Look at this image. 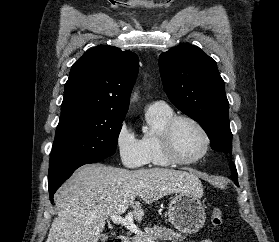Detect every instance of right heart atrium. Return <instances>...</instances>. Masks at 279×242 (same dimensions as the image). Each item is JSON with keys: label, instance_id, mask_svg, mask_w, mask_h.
Masks as SVG:
<instances>
[{"label": "right heart atrium", "instance_id": "d8ad5b80", "mask_svg": "<svg viewBox=\"0 0 279 242\" xmlns=\"http://www.w3.org/2000/svg\"><path fill=\"white\" fill-rule=\"evenodd\" d=\"M115 144L119 158L124 166L134 169L147 164V157L141 140L126 122L119 126Z\"/></svg>", "mask_w": 279, "mask_h": 242}]
</instances>
